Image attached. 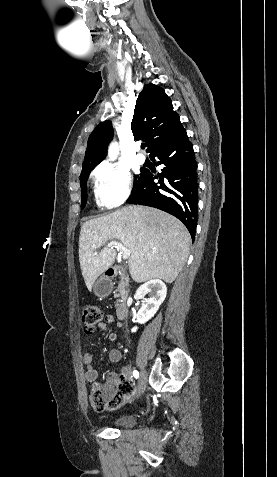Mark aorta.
I'll use <instances>...</instances> for the list:
<instances>
[{"label":"aorta","instance_id":"obj_1","mask_svg":"<svg viewBox=\"0 0 277 477\" xmlns=\"http://www.w3.org/2000/svg\"><path fill=\"white\" fill-rule=\"evenodd\" d=\"M119 154L118 144L116 142L111 143L108 149V157L110 160H115Z\"/></svg>","mask_w":277,"mask_h":477}]
</instances>
